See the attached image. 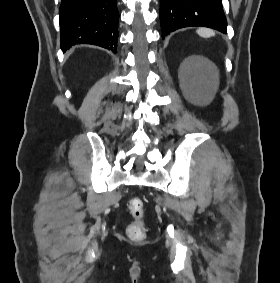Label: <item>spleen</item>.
I'll return each instance as SVG.
<instances>
[{
    "label": "spleen",
    "mask_w": 280,
    "mask_h": 283,
    "mask_svg": "<svg viewBox=\"0 0 280 283\" xmlns=\"http://www.w3.org/2000/svg\"><path fill=\"white\" fill-rule=\"evenodd\" d=\"M197 34L203 38H209V37H213L215 36V32L211 29H207V28H199L197 30ZM218 86V74L216 72L215 74V79L212 80V83H211V87L213 90H215Z\"/></svg>",
    "instance_id": "obj_1"
}]
</instances>
